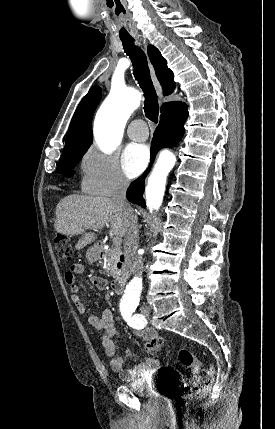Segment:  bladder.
<instances>
[{
    "mask_svg": "<svg viewBox=\"0 0 275 429\" xmlns=\"http://www.w3.org/2000/svg\"><path fill=\"white\" fill-rule=\"evenodd\" d=\"M176 377L130 378V393L148 403H179Z\"/></svg>",
    "mask_w": 275,
    "mask_h": 429,
    "instance_id": "bladder-1",
    "label": "bladder"
}]
</instances>
